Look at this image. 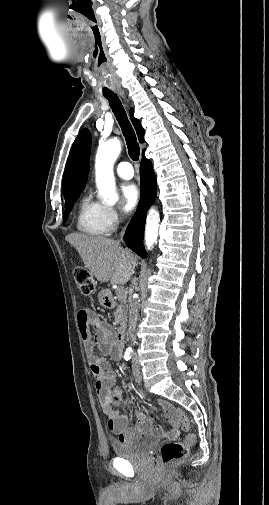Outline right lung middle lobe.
Masks as SVG:
<instances>
[{
	"label": "right lung middle lobe",
	"instance_id": "1",
	"mask_svg": "<svg viewBox=\"0 0 269 505\" xmlns=\"http://www.w3.org/2000/svg\"><path fill=\"white\" fill-rule=\"evenodd\" d=\"M81 192L73 195L72 197H70L69 199L65 200V208H66V211L64 213V221L63 223L66 222L67 218H68V215H69V212L70 210L72 209L73 207V204L76 202V200L78 199L79 195H80Z\"/></svg>",
	"mask_w": 269,
	"mask_h": 505
}]
</instances>
